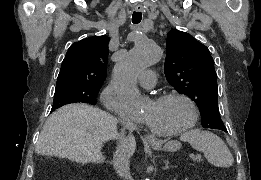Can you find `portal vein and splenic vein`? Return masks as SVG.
I'll return each instance as SVG.
<instances>
[{
	"mask_svg": "<svg viewBox=\"0 0 261 180\" xmlns=\"http://www.w3.org/2000/svg\"><path fill=\"white\" fill-rule=\"evenodd\" d=\"M202 157H203V154H200V155H197L196 153L190 154V160H193V161L201 160Z\"/></svg>",
	"mask_w": 261,
	"mask_h": 180,
	"instance_id": "portal-vein-and-splenic-vein-1",
	"label": "portal vein and splenic vein"
}]
</instances>
